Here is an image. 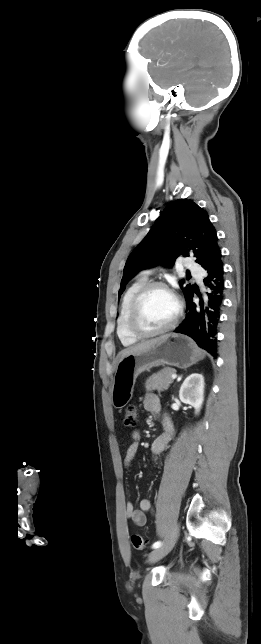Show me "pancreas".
<instances>
[{"mask_svg":"<svg viewBox=\"0 0 261 644\" xmlns=\"http://www.w3.org/2000/svg\"><path fill=\"white\" fill-rule=\"evenodd\" d=\"M175 373V369L167 367L153 374L147 379L145 383L146 391L151 392L157 390L158 392H162L164 390H167L170 384L173 383L171 376Z\"/></svg>","mask_w":261,"mask_h":644,"instance_id":"pancreas-1","label":"pancreas"}]
</instances>
